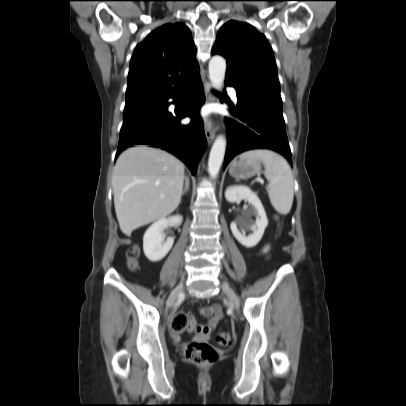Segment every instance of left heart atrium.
Segmentation results:
<instances>
[{
    "label": "left heart atrium",
    "mask_w": 406,
    "mask_h": 406,
    "mask_svg": "<svg viewBox=\"0 0 406 406\" xmlns=\"http://www.w3.org/2000/svg\"><path fill=\"white\" fill-rule=\"evenodd\" d=\"M202 116L205 117L206 116V111L202 112Z\"/></svg>",
    "instance_id": "left-heart-atrium-1"
}]
</instances>
